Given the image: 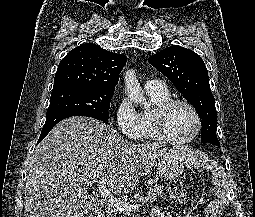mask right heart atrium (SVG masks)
I'll use <instances>...</instances> for the list:
<instances>
[{
  "label": "right heart atrium",
  "instance_id": "obj_1",
  "mask_svg": "<svg viewBox=\"0 0 255 217\" xmlns=\"http://www.w3.org/2000/svg\"><path fill=\"white\" fill-rule=\"evenodd\" d=\"M115 122L122 135L129 139L140 137V116L127 97L121 98L117 103L115 108Z\"/></svg>",
  "mask_w": 255,
  "mask_h": 217
}]
</instances>
